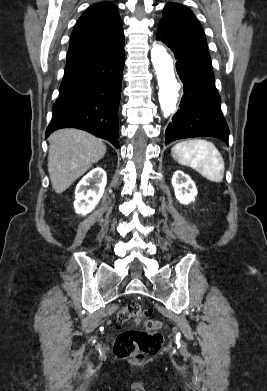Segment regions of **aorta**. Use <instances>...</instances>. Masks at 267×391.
Instances as JSON below:
<instances>
[{"label":"aorta","instance_id":"1","mask_svg":"<svg viewBox=\"0 0 267 391\" xmlns=\"http://www.w3.org/2000/svg\"><path fill=\"white\" fill-rule=\"evenodd\" d=\"M153 63L159 85V102L163 116L167 118L176 110L180 85L175 78L173 60L161 45L154 43L151 49Z\"/></svg>","mask_w":267,"mask_h":391}]
</instances>
